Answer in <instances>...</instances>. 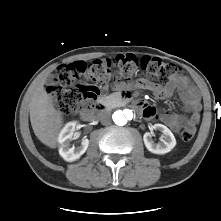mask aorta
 Masks as SVG:
<instances>
[{
  "mask_svg": "<svg viewBox=\"0 0 221 221\" xmlns=\"http://www.w3.org/2000/svg\"><path fill=\"white\" fill-rule=\"evenodd\" d=\"M112 118L116 125L123 126L133 118V112L130 109L118 110L114 112Z\"/></svg>",
  "mask_w": 221,
  "mask_h": 221,
  "instance_id": "aorta-1",
  "label": "aorta"
}]
</instances>
